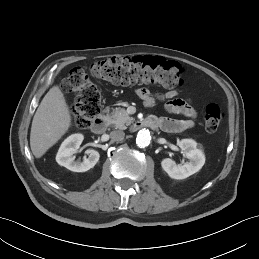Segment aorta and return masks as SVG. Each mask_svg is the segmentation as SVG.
<instances>
[{"mask_svg":"<svg viewBox=\"0 0 259 259\" xmlns=\"http://www.w3.org/2000/svg\"><path fill=\"white\" fill-rule=\"evenodd\" d=\"M150 141H151V134H150L149 130L141 129L137 133L136 144L139 147H146V146H148L150 144Z\"/></svg>","mask_w":259,"mask_h":259,"instance_id":"obj_1","label":"aorta"}]
</instances>
